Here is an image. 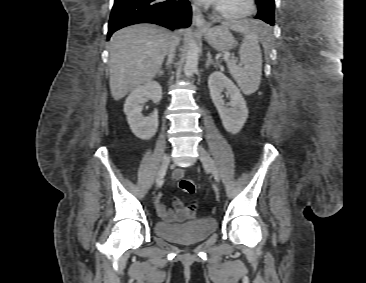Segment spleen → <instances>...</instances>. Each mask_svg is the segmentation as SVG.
I'll use <instances>...</instances> for the list:
<instances>
[{"label":"spleen","mask_w":366,"mask_h":283,"mask_svg":"<svg viewBox=\"0 0 366 283\" xmlns=\"http://www.w3.org/2000/svg\"><path fill=\"white\" fill-rule=\"evenodd\" d=\"M251 31L245 33V37L239 49L240 62L243 67L238 66L235 60L227 62V67L233 79L237 82L241 91L250 95L256 92L261 82L262 74V53L259 46V23L246 21Z\"/></svg>","instance_id":"obj_1"}]
</instances>
